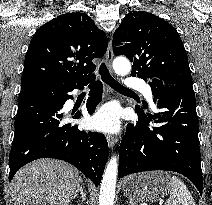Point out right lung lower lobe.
I'll return each mask as SVG.
<instances>
[{"mask_svg": "<svg viewBox=\"0 0 212 205\" xmlns=\"http://www.w3.org/2000/svg\"><path fill=\"white\" fill-rule=\"evenodd\" d=\"M93 76L82 81L45 82L21 90L15 119V136L9 158V181L25 164L40 158L61 159L78 168L96 186L108 158L105 136L97 132L80 131L78 125L67 123L63 105L73 99L68 92L82 89ZM92 83L86 107L93 114L102 99L100 81ZM81 113L72 115L80 118Z\"/></svg>", "mask_w": 212, "mask_h": 205, "instance_id": "obj_1", "label": "right lung lower lobe"}]
</instances>
